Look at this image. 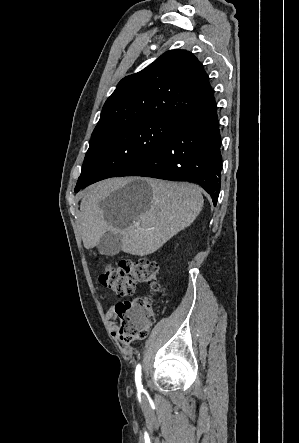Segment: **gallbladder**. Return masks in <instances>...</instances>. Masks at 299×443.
I'll use <instances>...</instances> for the list:
<instances>
[{"instance_id":"obj_1","label":"gallbladder","mask_w":299,"mask_h":443,"mask_svg":"<svg viewBox=\"0 0 299 443\" xmlns=\"http://www.w3.org/2000/svg\"><path fill=\"white\" fill-rule=\"evenodd\" d=\"M122 237L119 234L106 233L97 245L98 252L107 256H114L121 250Z\"/></svg>"}]
</instances>
